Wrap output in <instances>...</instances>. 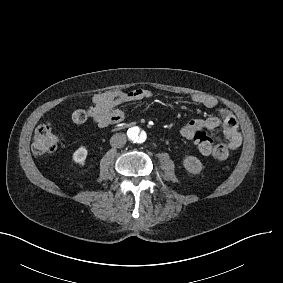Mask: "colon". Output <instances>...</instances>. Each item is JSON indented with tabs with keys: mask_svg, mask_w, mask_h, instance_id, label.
Returning a JSON list of instances; mask_svg holds the SVG:
<instances>
[{
	"mask_svg": "<svg viewBox=\"0 0 283 283\" xmlns=\"http://www.w3.org/2000/svg\"><path fill=\"white\" fill-rule=\"evenodd\" d=\"M92 111L89 108L76 109L72 113V121L75 124H83L90 120ZM192 138L196 148L204 153L211 154L214 150V141L210 133L202 129L192 131ZM57 145V132L51 123H43L37 126L33 140L32 150L37 155L53 152Z\"/></svg>",
	"mask_w": 283,
	"mask_h": 283,
	"instance_id": "1",
	"label": "colon"
}]
</instances>
